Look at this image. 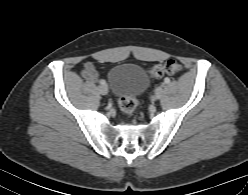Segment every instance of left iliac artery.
<instances>
[{"label": "left iliac artery", "mask_w": 248, "mask_h": 195, "mask_svg": "<svg viewBox=\"0 0 248 195\" xmlns=\"http://www.w3.org/2000/svg\"><path fill=\"white\" fill-rule=\"evenodd\" d=\"M164 82L168 84V83L170 82V79H169V78H165ZM158 88H160V87H158ZM158 88H157V89H158ZM157 89H156V90H157Z\"/></svg>", "instance_id": "obj_1"}]
</instances>
